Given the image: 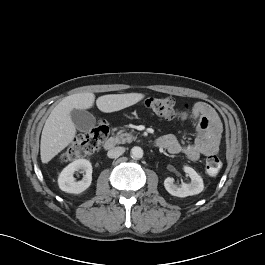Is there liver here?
<instances>
[{
  "instance_id": "obj_1",
  "label": "liver",
  "mask_w": 265,
  "mask_h": 265,
  "mask_svg": "<svg viewBox=\"0 0 265 265\" xmlns=\"http://www.w3.org/2000/svg\"><path fill=\"white\" fill-rule=\"evenodd\" d=\"M145 97L142 93L109 94L96 100L98 109L105 113L132 106ZM95 95L91 92L65 97L52 110L42 130L40 155L42 163H48L65 149L76 135V127L70 113L73 109L85 110L93 106Z\"/></svg>"
}]
</instances>
